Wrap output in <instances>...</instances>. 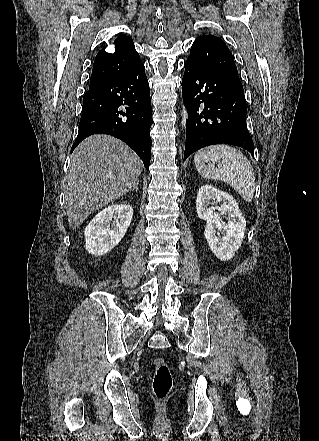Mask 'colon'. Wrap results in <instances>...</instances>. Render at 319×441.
Returning <instances> with one entry per match:
<instances>
[{
    "instance_id": "obj_1",
    "label": "colon",
    "mask_w": 319,
    "mask_h": 441,
    "mask_svg": "<svg viewBox=\"0 0 319 441\" xmlns=\"http://www.w3.org/2000/svg\"><path fill=\"white\" fill-rule=\"evenodd\" d=\"M153 364L155 366L153 392L158 399H164L172 388V374L162 357L154 358Z\"/></svg>"
}]
</instances>
